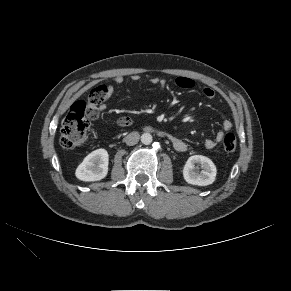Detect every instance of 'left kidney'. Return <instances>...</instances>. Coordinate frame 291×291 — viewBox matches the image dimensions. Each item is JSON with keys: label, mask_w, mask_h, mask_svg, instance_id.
<instances>
[{"label": "left kidney", "mask_w": 291, "mask_h": 291, "mask_svg": "<svg viewBox=\"0 0 291 291\" xmlns=\"http://www.w3.org/2000/svg\"><path fill=\"white\" fill-rule=\"evenodd\" d=\"M195 164L202 167V171L199 172ZM216 166L209 158L202 155H193L188 158L183 168V177L185 181L192 185L207 186L215 181Z\"/></svg>", "instance_id": "left-kidney-1"}]
</instances>
